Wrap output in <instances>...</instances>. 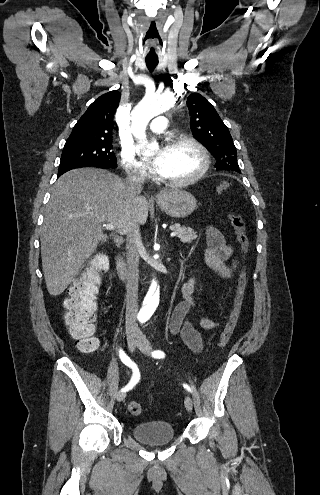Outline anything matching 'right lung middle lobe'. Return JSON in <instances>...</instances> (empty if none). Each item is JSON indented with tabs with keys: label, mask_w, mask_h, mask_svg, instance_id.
Instances as JSON below:
<instances>
[{
	"label": "right lung middle lobe",
	"mask_w": 320,
	"mask_h": 495,
	"mask_svg": "<svg viewBox=\"0 0 320 495\" xmlns=\"http://www.w3.org/2000/svg\"><path fill=\"white\" fill-rule=\"evenodd\" d=\"M87 166H117L110 141H67L61 155L58 174Z\"/></svg>",
	"instance_id": "right-lung-middle-lobe-1"
}]
</instances>
